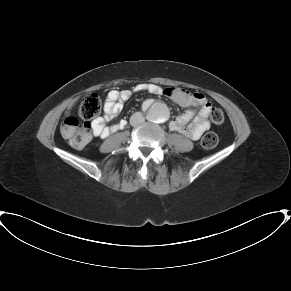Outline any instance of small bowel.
<instances>
[{
	"label": "small bowel",
	"mask_w": 291,
	"mask_h": 291,
	"mask_svg": "<svg viewBox=\"0 0 291 291\" xmlns=\"http://www.w3.org/2000/svg\"><path fill=\"white\" fill-rule=\"evenodd\" d=\"M133 91H146L150 94L164 95L176 104L188 108L181 115L170 120L169 128L172 131L181 133L192 140H198L210 128L208 114L211 105L201 93L189 94L180 88L163 89L154 83H139L134 87ZM131 94L132 90L129 89L110 91L105 101L104 119L116 116L122 110L123 102L128 100ZM144 106L148 107V104ZM197 106H201L198 112L196 111ZM125 124L124 120H120L110 126H106L103 121L95 120L92 123V129L96 137L105 139L111 133L124 128Z\"/></svg>",
	"instance_id": "small-bowel-1"
}]
</instances>
